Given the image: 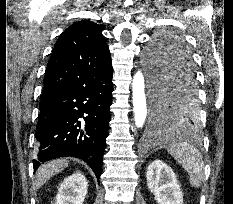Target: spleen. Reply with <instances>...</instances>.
<instances>
[{
  "instance_id": "spleen-1",
  "label": "spleen",
  "mask_w": 233,
  "mask_h": 204,
  "mask_svg": "<svg viewBox=\"0 0 233 204\" xmlns=\"http://www.w3.org/2000/svg\"><path fill=\"white\" fill-rule=\"evenodd\" d=\"M168 152L188 173L191 187H201L205 181V167L199 150L190 143L179 141L170 145Z\"/></svg>"
}]
</instances>
